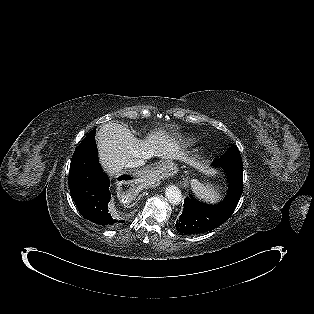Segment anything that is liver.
<instances>
[{"label": "liver", "instance_id": "liver-1", "mask_svg": "<svg viewBox=\"0 0 314 314\" xmlns=\"http://www.w3.org/2000/svg\"><path fill=\"white\" fill-rule=\"evenodd\" d=\"M102 166L111 174L120 173L127 163L154 156L183 159L176 141L163 131L150 134L145 140L136 138L129 129L117 123L104 124L96 134Z\"/></svg>", "mask_w": 314, "mask_h": 314}]
</instances>
